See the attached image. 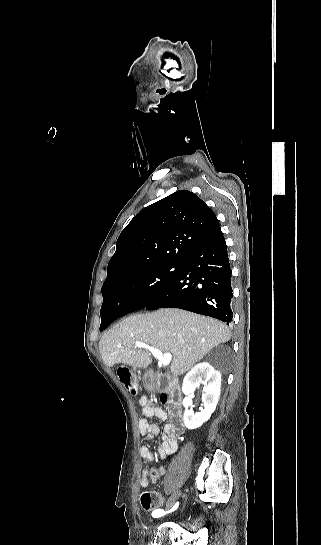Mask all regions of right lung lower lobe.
Segmentation results:
<instances>
[{"instance_id":"obj_1","label":"right lung lower lobe","mask_w":321,"mask_h":545,"mask_svg":"<svg viewBox=\"0 0 321 545\" xmlns=\"http://www.w3.org/2000/svg\"><path fill=\"white\" fill-rule=\"evenodd\" d=\"M231 275L227 247L220 228L181 264L177 276L147 305L115 297L102 305L101 318L105 320L102 330L130 312L162 307L185 309L229 324L233 318L230 307L233 296Z\"/></svg>"}]
</instances>
